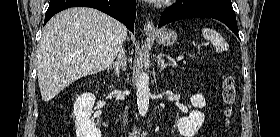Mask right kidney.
Segmentation results:
<instances>
[{
    "label": "right kidney",
    "instance_id": "obj_1",
    "mask_svg": "<svg viewBox=\"0 0 280 137\" xmlns=\"http://www.w3.org/2000/svg\"><path fill=\"white\" fill-rule=\"evenodd\" d=\"M95 96L90 92L83 93L74 102L73 113L77 137H101V132L91 120Z\"/></svg>",
    "mask_w": 280,
    "mask_h": 137
}]
</instances>
